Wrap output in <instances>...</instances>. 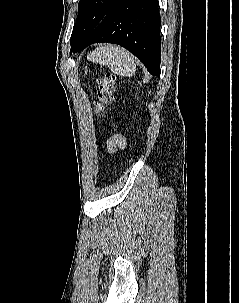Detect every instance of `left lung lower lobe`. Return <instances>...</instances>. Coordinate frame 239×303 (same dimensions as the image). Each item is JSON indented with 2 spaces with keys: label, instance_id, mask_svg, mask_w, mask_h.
Instances as JSON below:
<instances>
[{
  "label": "left lung lower lobe",
  "instance_id": "1",
  "mask_svg": "<svg viewBox=\"0 0 239 303\" xmlns=\"http://www.w3.org/2000/svg\"><path fill=\"white\" fill-rule=\"evenodd\" d=\"M161 18L158 0H117L80 45L108 42L125 47L152 74L160 75Z\"/></svg>",
  "mask_w": 239,
  "mask_h": 303
}]
</instances>
